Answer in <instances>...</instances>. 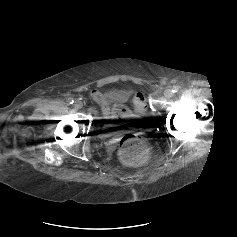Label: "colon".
Wrapping results in <instances>:
<instances>
[{
  "label": "colon",
  "mask_w": 237,
  "mask_h": 237,
  "mask_svg": "<svg viewBox=\"0 0 237 237\" xmlns=\"http://www.w3.org/2000/svg\"><path fill=\"white\" fill-rule=\"evenodd\" d=\"M120 158L127 164H141L149 157V146L139 134H127L120 143Z\"/></svg>",
  "instance_id": "colon-1"
}]
</instances>
